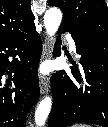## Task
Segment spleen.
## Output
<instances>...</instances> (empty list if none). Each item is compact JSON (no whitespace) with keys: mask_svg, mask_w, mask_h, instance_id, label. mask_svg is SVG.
<instances>
[{"mask_svg":"<svg viewBox=\"0 0 108 127\" xmlns=\"http://www.w3.org/2000/svg\"><path fill=\"white\" fill-rule=\"evenodd\" d=\"M72 127H91V126L87 124H75Z\"/></svg>","mask_w":108,"mask_h":127,"instance_id":"1","label":"spleen"}]
</instances>
